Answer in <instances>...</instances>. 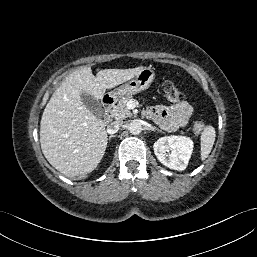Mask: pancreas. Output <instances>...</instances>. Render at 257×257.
Segmentation results:
<instances>
[{
    "instance_id": "obj_1",
    "label": "pancreas",
    "mask_w": 257,
    "mask_h": 257,
    "mask_svg": "<svg viewBox=\"0 0 257 257\" xmlns=\"http://www.w3.org/2000/svg\"><path fill=\"white\" fill-rule=\"evenodd\" d=\"M131 96H125L123 97L117 105L113 107L111 110V115L116 119V120H121L125 119L127 117H131L132 113L130 110L127 108V103L131 101Z\"/></svg>"
}]
</instances>
